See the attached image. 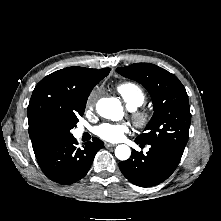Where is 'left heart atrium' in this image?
Returning <instances> with one entry per match:
<instances>
[{
  "instance_id": "1",
  "label": "left heart atrium",
  "mask_w": 221,
  "mask_h": 221,
  "mask_svg": "<svg viewBox=\"0 0 221 221\" xmlns=\"http://www.w3.org/2000/svg\"><path fill=\"white\" fill-rule=\"evenodd\" d=\"M128 128L124 124L103 123L96 127L95 134L106 141H119Z\"/></svg>"
}]
</instances>
